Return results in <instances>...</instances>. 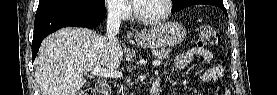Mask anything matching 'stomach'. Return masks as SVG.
I'll return each instance as SVG.
<instances>
[{
	"label": "stomach",
	"instance_id": "1",
	"mask_svg": "<svg viewBox=\"0 0 277 95\" xmlns=\"http://www.w3.org/2000/svg\"><path fill=\"white\" fill-rule=\"evenodd\" d=\"M186 37V29L178 23H166L144 30L137 38L138 44L145 48L174 47Z\"/></svg>",
	"mask_w": 277,
	"mask_h": 95
}]
</instances>
